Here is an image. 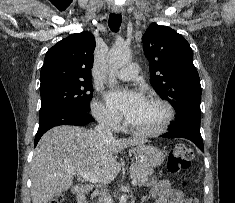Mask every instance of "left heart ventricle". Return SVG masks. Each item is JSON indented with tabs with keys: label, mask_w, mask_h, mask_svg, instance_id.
I'll return each instance as SVG.
<instances>
[{
	"label": "left heart ventricle",
	"mask_w": 235,
	"mask_h": 203,
	"mask_svg": "<svg viewBox=\"0 0 235 203\" xmlns=\"http://www.w3.org/2000/svg\"><path fill=\"white\" fill-rule=\"evenodd\" d=\"M164 109L161 105L145 100L140 109L129 122L141 129L157 127L164 118Z\"/></svg>",
	"instance_id": "obj_1"
}]
</instances>
